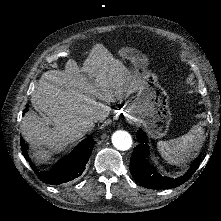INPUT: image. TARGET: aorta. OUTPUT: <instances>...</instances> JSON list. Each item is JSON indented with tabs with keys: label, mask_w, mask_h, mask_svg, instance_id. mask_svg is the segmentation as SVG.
<instances>
[{
	"label": "aorta",
	"mask_w": 221,
	"mask_h": 221,
	"mask_svg": "<svg viewBox=\"0 0 221 221\" xmlns=\"http://www.w3.org/2000/svg\"><path fill=\"white\" fill-rule=\"evenodd\" d=\"M111 139L113 146L118 150L125 151L132 146V137L126 131L118 130L114 132Z\"/></svg>",
	"instance_id": "obj_1"
}]
</instances>
